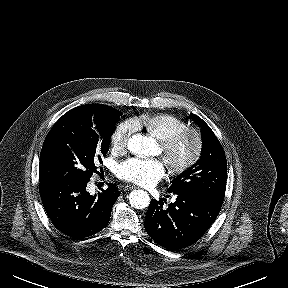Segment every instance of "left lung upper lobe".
<instances>
[{
	"label": "left lung upper lobe",
	"mask_w": 288,
	"mask_h": 288,
	"mask_svg": "<svg viewBox=\"0 0 288 288\" xmlns=\"http://www.w3.org/2000/svg\"><path fill=\"white\" fill-rule=\"evenodd\" d=\"M189 117L201 127V156L193 166L172 180L168 192L206 197L222 204L227 178L225 153L211 128L200 117L192 113Z\"/></svg>",
	"instance_id": "1"
}]
</instances>
